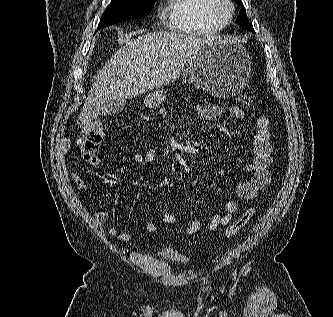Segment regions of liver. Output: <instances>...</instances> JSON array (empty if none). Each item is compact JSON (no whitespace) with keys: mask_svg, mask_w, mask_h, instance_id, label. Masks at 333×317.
Listing matches in <instances>:
<instances>
[{"mask_svg":"<svg viewBox=\"0 0 333 317\" xmlns=\"http://www.w3.org/2000/svg\"><path fill=\"white\" fill-rule=\"evenodd\" d=\"M213 38L157 31L128 41L94 77L77 124L88 127L111 97L130 99L174 82L200 47Z\"/></svg>","mask_w":333,"mask_h":317,"instance_id":"obj_1","label":"liver"}]
</instances>
